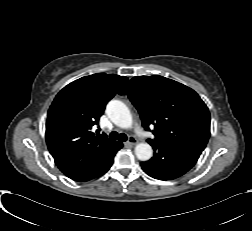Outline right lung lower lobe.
<instances>
[{
  "label": "right lung lower lobe",
  "instance_id": "obj_1",
  "mask_svg": "<svg viewBox=\"0 0 252 231\" xmlns=\"http://www.w3.org/2000/svg\"><path fill=\"white\" fill-rule=\"evenodd\" d=\"M113 159H114V156L111 157L107 163L103 166L102 170L98 173V175L96 177H100L102 176L103 174H105L109 168L111 167L112 163H113Z\"/></svg>",
  "mask_w": 252,
  "mask_h": 231
}]
</instances>
